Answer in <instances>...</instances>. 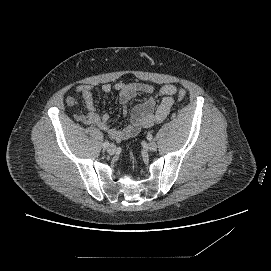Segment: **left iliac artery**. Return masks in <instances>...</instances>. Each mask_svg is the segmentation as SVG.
<instances>
[{
    "mask_svg": "<svg viewBox=\"0 0 271 271\" xmlns=\"http://www.w3.org/2000/svg\"><path fill=\"white\" fill-rule=\"evenodd\" d=\"M147 139L149 140V141H151L152 139H153V136H152V134H147Z\"/></svg>",
    "mask_w": 271,
    "mask_h": 271,
    "instance_id": "obj_1",
    "label": "left iliac artery"
}]
</instances>
